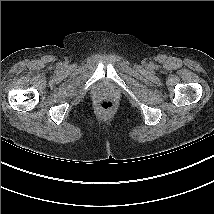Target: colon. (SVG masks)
<instances>
[{"instance_id":"5ec220e1","label":"colon","mask_w":214,"mask_h":214,"mask_svg":"<svg viewBox=\"0 0 214 214\" xmlns=\"http://www.w3.org/2000/svg\"><path fill=\"white\" fill-rule=\"evenodd\" d=\"M99 107L103 110H109L113 107V102L108 99H103L99 102Z\"/></svg>"}]
</instances>
